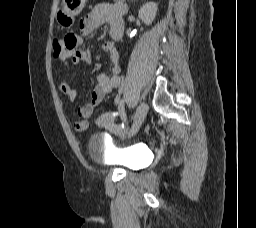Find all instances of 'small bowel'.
<instances>
[{"instance_id": "c3829d8e", "label": "small bowel", "mask_w": 256, "mask_h": 228, "mask_svg": "<svg viewBox=\"0 0 256 228\" xmlns=\"http://www.w3.org/2000/svg\"><path fill=\"white\" fill-rule=\"evenodd\" d=\"M126 12V5L117 0L111 4H99L95 6L80 22V34L69 33L63 39V48L58 59L65 66L78 65L81 62H91V52L83 49L85 37L91 35L104 24L110 27L111 35L115 28H123L122 16ZM101 49L109 55L110 74L102 73L97 78V85L91 95V101L78 107L77 115L79 120L74 122V129L78 132H84L89 127V118L93 114L94 108L99 105L103 99L118 89L122 85L121 66L119 64V55L115 43L112 40L101 44ZM60 91L70 101H75L78 97V89L71 86L67 81L60 83ZM108 130L112 133L122 132V127L117 124H110Z\"/></svg>"}]
</instances>
